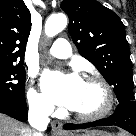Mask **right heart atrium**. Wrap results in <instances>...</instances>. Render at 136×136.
<instances>
[{
	"label": "right heart atrium",
	"instance_id": "1",
	"mask_svg": "<svg viewBox=\"0 0 136 136\" xmlns=\"http://www.w3.org/2000/svg\"><path fill=\"white\" fill-rule=\"evenodd\" d=\"M27 101L30 109L41 115H49L53 111V106L45 95L31 87L27 92Z\"/></svg>",
	"mask_w": 136,
	"mask_h": 136
}]
</instances>
